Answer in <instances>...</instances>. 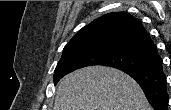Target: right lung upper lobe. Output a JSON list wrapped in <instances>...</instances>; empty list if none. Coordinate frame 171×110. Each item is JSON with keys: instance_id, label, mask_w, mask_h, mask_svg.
Listing matches in <instances>:
<instances>
[{"instance_id": "obj_1", "label": "right lung upper lobe", "mask_w": 171, "mask_h": 110, "mask_svg": "<svg viewBox=\"0 0 171 110\" xmlns=\"http://www.w3.org/2000/svg\"><path fill=\"white\" fill-rule=\"evenodd\" d=\"M92 42L125 46L159 58L156 45L142 23L127 12L109 13L95 19L82 28L64 49Z\"/></svg>"}]
</instances>
